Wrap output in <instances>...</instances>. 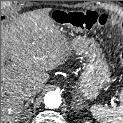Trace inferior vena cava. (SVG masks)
<instances>
[{"label": "inferior vena cava", "mask_w": 123, "mask_h": 123, "mask_svg": "<svg viewBox=\"0 0 123 123\" xmlns=\"http://www.w3.org/2000/svg\"><path fill=\"white\" fill-rule=\"evenodd\" d=\"M34 95H35V93L30 88L23 91L24 100H30L29 97H32Z\"/></svg>", "instance_id": "1"}]
</instances>
